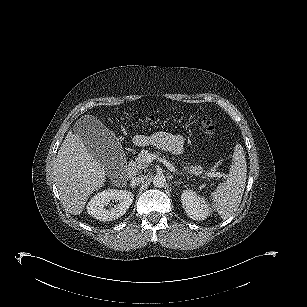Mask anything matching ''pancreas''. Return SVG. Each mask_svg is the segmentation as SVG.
Segmentation results:
<instances>
[{"label": "pancreas", "instance_id": "cf45deb5", "mask_svg": "<svg viewBox=\"0 0 307 307\" xmlns=\"http://www.w3.org/2000/svg\"><path fill=\"white\" fill-rule=\"evenodd\" d=\"M145 153L142 152L138 155V157L136 158V165L138 169H143L146 168V163L144 161V157H145ZM183 172L186 175H194V176H201L205 171L203 170V168L201 166H184L183 167ZM209 175L215 176L217 174L214 173H208Z\"/></svg>", "mask_w": 307, "mask_h": 307}]
</instances>
